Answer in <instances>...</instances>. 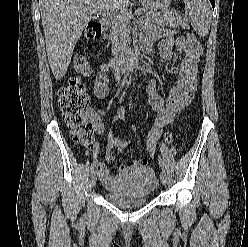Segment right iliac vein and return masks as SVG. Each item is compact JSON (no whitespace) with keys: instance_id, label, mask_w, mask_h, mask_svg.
<instances>
[{"instance_id":"right-iliac-vein-1","label":"right iliac vein","mask_w":248,"mask_h":247,"mask_svg":"<svg viewBox=\"0 0 248 247\" xmlns=\"http://www.w3.org/2000/svg\"><path fill=\"white\" fill-rule=\"evenodd\" d=\"M96 173L92 172L90 175V188H94L96 185Z\"/></svg>"}]
</instances>
